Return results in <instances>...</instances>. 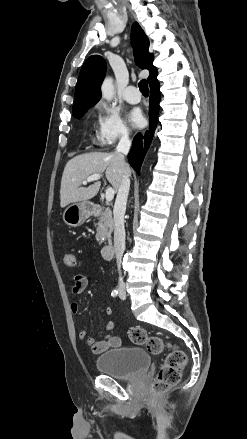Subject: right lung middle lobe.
<instances>
[{
  "label": "right lung middle lobe",
  "mask_w": 247,
  "mask_h": 439,
  "mask_svg": "<svg viewBox=\"0 0 247 439\" xmlns=\"http://www.w3.org/2000/svg\"><path fill=\"white\" fill-rule=\"evenodd\" d=\"M86 111H87V110L80 111V112H78V113L73 114V116L76 117V118H80V117H82V116L84 115V113H85Z\"/></svg>",
  "instance_id": "right-lung-middle-lobe-1"
}]
</instances>
